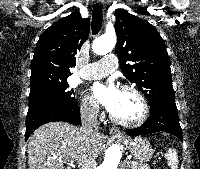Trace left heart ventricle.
Listing matches in <instances>:
<instances>
[{"instance_id":"1","label":"left heart ventricle","mask_w":200,"mask_h":169,"mask_svg":"<svg viewBox=\"0 0 200 169\" xmlns=\"http://www.w3.org/2000/svg\"><path fill=\"white\" fill-rule=\"evenodd\" d=\"M142 106L138 97L128 91H119L118 100L112 114L119 119L133 121L140 117Z\"/></svg>"}]
</instances>
